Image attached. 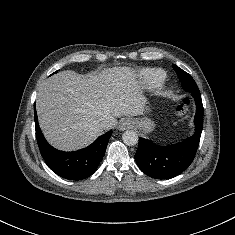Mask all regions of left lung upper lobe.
Listing matches in <instances>:
<instances>
[{
    "label": "left lung upper lobe",
    "mask_w": 235,
    "mask_h": 235,
    "mask_svg": "<svg viewBox=\"0 0 235 235\" xmlns=\"http://www.w3.org/2000/svg\"><path fill=\"white\" fill-rule=\"evenodd\" d=\"M173 68L176 71L181 82H182V80H186L189 82L190 86H192V88L194 90L199 91L196 82L193 80V78L187 72L183 71L182 69H180L176 65H173Z\"/></svg>",
    "instance_id": "left-lung-upper-lobe-1"
}]
</instances>
